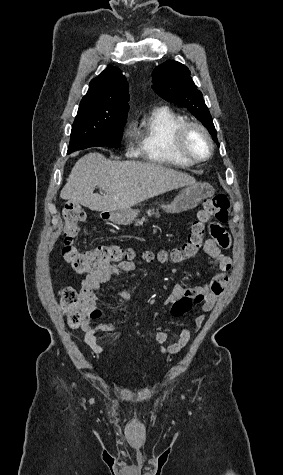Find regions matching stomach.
<instances>
[{
  "label": "stomach",
  "mask_w": 283,
  "mask_h": 475,
  "mask_svg": "<svg viewBox=\"0 0 283 475\" xmlns=\"http://www.w3.org/2000/svg\"><path fill=\"white\" fill-rule=\"evenodd\" d=\"M213 194L214 190L210 184H207V182H198V184L184 188L179 196L174 198L171 204L161 206V208H163L165 212H168V214H179V212H186V210L196 208L203 200L211 198ZM138 214H140V210H131V208H129V210H117V212H111L110 222L128 226V224H132Z\"/></svg>",
  "instance_id": "1"
}]
</instances>
